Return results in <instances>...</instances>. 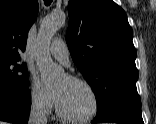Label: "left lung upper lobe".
Segmentation results:
<instances>
[{
	"label": "left lung upper lobe",
	"mask_w": 156,
	"mask_h": 124,
	"mask_svg": "<svg viewBox=\"0 0 156 124\" xmlns=\"http://www.w3.org/2000/svg\"><path fill=\"white\" fill-rule=\"evenodd\" d=\"M66 42L91 86L97 115L113 108L141 112L133 31L113 0H70Z\"/></svg>",
	"instance_id": "obj_1"
}]
</instances>
